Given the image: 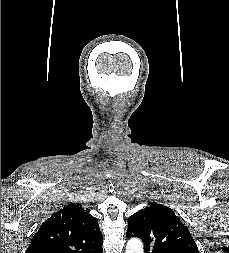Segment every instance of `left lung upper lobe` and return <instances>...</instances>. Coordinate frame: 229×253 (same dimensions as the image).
<instances>
[{"label":"left lung upper lobe","mask_w":229,"mask_h":253,"mask_svg":"<svg viewBox=\"0 0 229 253\" xmlns=\"http://www.w3.org/2000/svg\"><path fill=\"white\" fill-rule=\"evenodd\" d=\"M127 237H138L145 253H199L188 228L167 206L150 203L129 217Z\"/></svg>","instance_id":"5c2ea615"}]
</instances>
